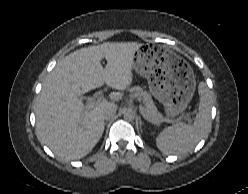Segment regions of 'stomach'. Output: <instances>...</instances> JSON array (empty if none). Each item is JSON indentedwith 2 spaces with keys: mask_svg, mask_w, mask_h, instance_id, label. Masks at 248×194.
Wrapping results in <instances>:
<instances>
[{
  "mask_svg": "<svg viewBox=\"0 0 248 194\" xmlns=\"http://www.w3.org/2000/svg\"><path fill=\"white\" fill-rule=\"evenodd\" d=\"M133 69L148 81L150 93L168 116L181 114L191 101L196 81L191 66L172 50L144 45L134 55Z\"/></svg>",
  "mask_w": 248,
  "mask_h": 194,
  "instance_id": "stomach-1",
  "label": "stomach"
}]
</instances>
